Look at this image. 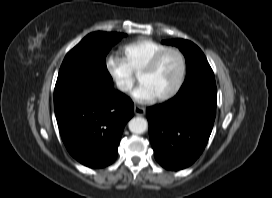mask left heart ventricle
Listing matches in <instances>:
<instances>
[{"label": "left heart ventricle", "instance_id": "b2bd125f", "mask_svg": "<svg viewBox=\"0 0 272 198\" xmlns=\"http://www.w3.org/2000/svg\"><path fill=\"white\" fill-rule=\"evenodd\" d=\"M181 71V61L176 53L167 54L151 73L142 75L140 83L146 84L155 97L168 93L176 84Z\"/></svg>", "mask_w": 272, "mask_h": 198}]
</instances>
